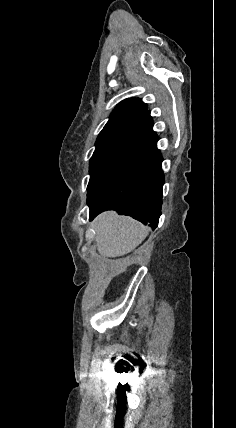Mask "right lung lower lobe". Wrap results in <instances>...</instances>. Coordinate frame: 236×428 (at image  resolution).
Wrapping results in <instances>:
<instances>
[{
	"label": "right lung lower lobe",
	"mask_w": 236,
	"mask_h": 428,
	"mask_svg": "<svg viewBox=\"0 0 236 428\" xmlns=\"http://www.w3.org/2000/svg\"><path fill=\"white\" fill-rule=\"evenodd\" d=\"M154 134L144 144L145 148L130 169L96 202L89 205L90 220L106 210L129 215L151 227L158 225L161 215L164 176L162 157L156 147Z\"/></svg>",
	"instance_id": "right-lung-lower-lobe-1"
}]
</instances>
